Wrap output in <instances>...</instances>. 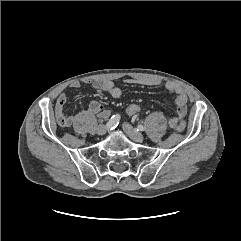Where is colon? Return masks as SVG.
<instances>
[{"instance_id":"1","label":"colon","mask_w":241,"mask_h":241,"mask_svg":"<svg viewBox=\"0 0 241 241\" xmlns=\"http://www.w3.org/2000/svg\"><path fill=\"white\" fill-rule=\"evenodd\" d=\"M141 112V107L138 104H131L126 108V113L130 116H135ZM185 128V122L180 121L175 129L178 131H182Z\"/></svg>"}]
</instances>
